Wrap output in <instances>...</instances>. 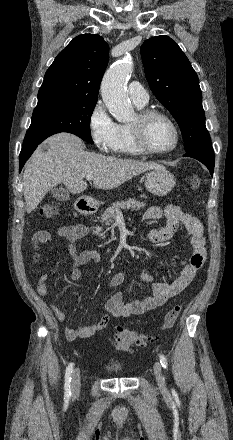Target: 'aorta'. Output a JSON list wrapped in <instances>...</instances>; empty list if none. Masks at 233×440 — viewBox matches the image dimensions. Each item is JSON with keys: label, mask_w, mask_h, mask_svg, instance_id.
Returning <instances> with one entry per match:
<instances>
[{"label": "aorta", "mask_w": 233, "mask_h": 440, "mask_svg": "<svg viewBox=\"0 0 233 440\" xmlns=\"http://www.w3.org/2000/svg\"><path fill=\"white\" fill-rule=\"evenodd\" d=\"M132 68L131 59L126 56L107 70L101 83L102 99L118 122H128L134 117L133 106L125 90Z\"/></svg>", "instance_id": "aorta-1"}]
</instances>
